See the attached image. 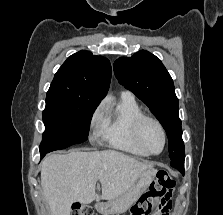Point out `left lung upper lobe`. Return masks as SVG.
<instances>
[{"instance_id":"obj_1","label":"left lung upper lobe","mask_w":223,"mask_h":215,"mask_svg":"<svg viewBox=\"0 0 223 215\" xmlns=\"http://www.w3.org/2000/svg\"><path fill=\"white\" fill-rule=\"evenodd\" d=\"M120 84L132 91L155 115L166 131L171 166H184L185 152L173 80L162 62L148 51L121 57L114 63Z\"/></svg>"}]
</instances>
